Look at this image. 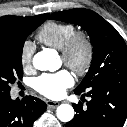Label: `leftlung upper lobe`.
<instances>
[{"label":"left lung upper lobe","instance_id":"5c2ea615","mask_svg":"<svg viewBox=\"0 0 127 127\" xmlns=\"http://www.w3.org/2000/svg\"><path fill=\"white\" fill-rule=\"evenodd\" d=\"M49 19L80 25L90 36L92 63L75 89L76 94L89 91L104 82L127 84V47L111 24L88 9L59 11L51 14Z\"/></svg>","mask_w":127,"mask_h":127}]
</instances>
